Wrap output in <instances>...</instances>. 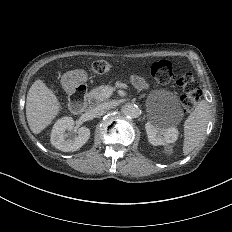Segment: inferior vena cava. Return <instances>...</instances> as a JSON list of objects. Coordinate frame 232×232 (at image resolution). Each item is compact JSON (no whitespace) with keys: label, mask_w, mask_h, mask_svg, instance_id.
Returning a JSON list of instances; mask_svg holds the SVG:
<instances>
[{"label":"inferior vena cava","mask_w":232,"mask_h":232,"mask_svg":"<svg viewBox=\"0 0 232 232\" xmlns=\"http://www.w3.org/2000/svg\"><path fill=\"white\" fill-rule=\"evenodd\" d=\"M116 106V103L114 101H108V102H103L101 104H99L96 109L98 111H105V110H109L112 109Z\"/></svg>","instance_id":"1"}]
</instances>
